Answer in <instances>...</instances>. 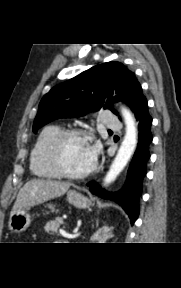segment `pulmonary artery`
<instances>
[{
    "instance_id": "pulmonary-artery-1",
    "label": "pulmonary artery",
    "mask_w": 181,
    "mask_h": 288,
    "mask_svg": "<svg viewBox=\"0 0 181 288\" xmlns=\"http://www.w3.org/2000/svg\"><path fill=\"white\" fill-rule=\"evenodd\" d=\"M102 121L106 128L108 129H119L120 128V122L119 120L111 113L104 112L102 114Z\"/></svg>"
}]
</instances>
